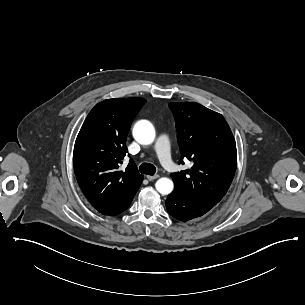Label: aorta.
Returning <instances> with one entry per match:
<instances>
[{
    "instance_id": "aorta-1",
    "label": "aorta",
    "mask_w": 305,
    "mask_h": 305,
    "mask_svg": "<svg viewBox=\"0 0 305 305\" xmlns=\"http://www.w3.org/2000/svg\"><path fill=\"white\" fill-rule=\"evenodd\" d=\"M133 137L142 145L153 143L155 139L154 126L147 120L138 121L133 128ZM155 187L160 194L168 195L173 191L174 183L171 179L163 177L157 180Z\"/></svg>"
}]
</instances>
